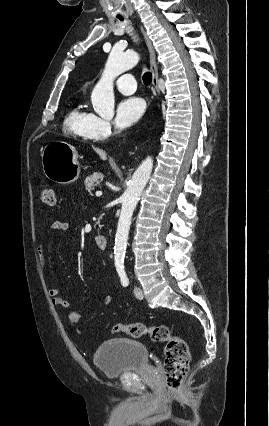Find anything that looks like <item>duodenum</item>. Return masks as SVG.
Wrapping results in <instances>:
<instances>
[{"mask_svg": "<svg viewBox=\"0 0 269 426\" xmlns=\"http://www.w3.org/2000/svg\"><path fill=\"white\" fill-rule=\"evenodd\" d=\"M96 244L98 246L99 249L101 250H105L107 249L108 246V239L106 236L104 235H97L95 238Z\"/></svg>", "mask_w": 269, "mask_h": 426, "instance_id": "duodenum-1", "label": "duodenum"}]
</instances>
